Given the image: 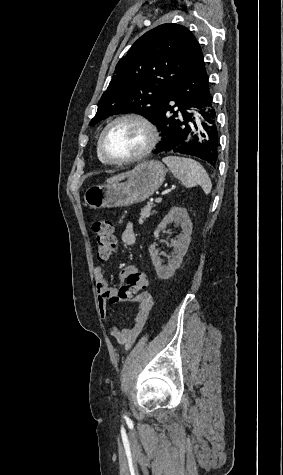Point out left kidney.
Masks as SVG:
<instances>
[{
    "label": "left kidney",
    "instance_id": "5707ae66",
    "mask_svg": "<svg viewBox=\"0 0 283 475\" xmlns=\"http://www.w3.org/2000/svg\"><path fill=\"white\" fill-rule=\"evenodd\" d=\"M167 224H181L182 232L179 236H176L177 239H171V245L175 247V255H172L167 265H162L163 259L159 257L158 249H156L154 243H151L149 247L151 259L160 279H169V277L174 275L175 269L180 267L183 255H185L189 247L192 232V222L186 208H171L170 212L166 214L162 222L158 224L157 230L154 232V238H159L160 230H164Z\"/></svg>",
    "mask_w": 283,
    "mask_h": 475
}]
</instances>
